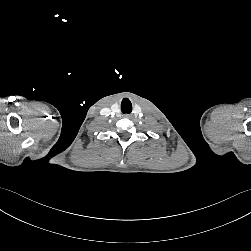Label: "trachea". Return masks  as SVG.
<instances>
[{
    "instance_id": "3493384b",
    "label": "trachea",
    "mask_w": 251,
    "mask_h": 251,
    "mask_svg": "<svg viewBox=\"0 0 251 251\" xmlns=\"http://www.w3.org/2000/svg\"><path fill=\"white\" fill-rule=\"evenodd\" d=\"M121 111L123 113H131V111H132V105H131V103L129 102L128 104L125 105V102H122V104H121Z\"/></svg>"
}]
</instances>
